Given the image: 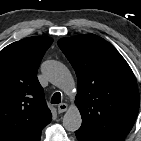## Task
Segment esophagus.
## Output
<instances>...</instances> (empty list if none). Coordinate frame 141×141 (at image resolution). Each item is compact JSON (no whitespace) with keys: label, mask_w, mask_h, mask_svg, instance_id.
I'll return each instance as SVG.
<instances>
[{"label":"esophagus","mask_w":141,"mask_h":141,"mask_svg":"<svg viewBox=\"0 0 141 141\" xmlns=\"http://www.w3.org/2000/svg\"><path fill=\"white\" fill-rule=\"evenodd\" d=\"M68 109V105L66 103H60L58 105V112L63 113Z\"/></svg>","instance_id":"obj_1"}]
</instances>
